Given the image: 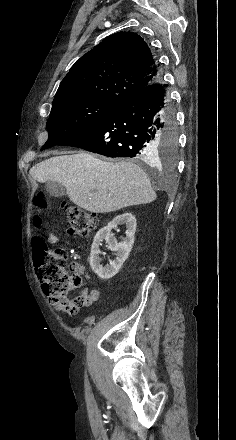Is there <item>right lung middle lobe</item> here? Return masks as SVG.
<instances>
[{"label": "right lung middle lobe", "mask_w": 236, "mask_h": 440, "mask_svg": "<svg viewBox=\"0 0 236 440\" xmlns=\"http://www.w3.org/2000/svg\"><path fill=\"white\" fill-rule=\"evenodd\" d=\"M117 106V104L95 100L53 103L47 121L48 141L41 150L60 145L67 139L89 129ZM157 145L164 162L173 163L177 148L176 131L166 130L162 132Z\"/></svg>", "instance_id": "right-lung-middle-lobe-1"}]
</instances>
